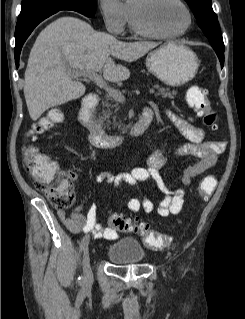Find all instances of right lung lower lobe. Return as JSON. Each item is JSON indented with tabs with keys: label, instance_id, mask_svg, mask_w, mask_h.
Returning a JSON list of instances; mask_svg holds the SVG:
<instances>
[{
	"label": "right lung lower lobe",
	"instance_id": "1",
	"mask_svg": "<svg viewBox=\"0 0 245 319\" xmlns=\"http://www.w3.org/2000/svg\"><path fill=\"white\" fill-rule=\"evenodd\" d=\"M57 11H50L46 13H42L36 16H33L27 20L24 21H19L16 24V29H15V39H16V45H15V63L16 67L19 66V57H20V52L21 48L28 38V36L31 34L33 29L44 19L47 17L51 16L52 14L58 12Z\"/></svg>",
	"mask_w": 245,
	"mask_h": 319
}]
</instances>
